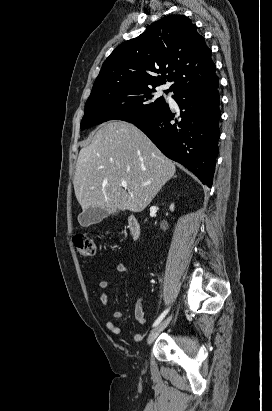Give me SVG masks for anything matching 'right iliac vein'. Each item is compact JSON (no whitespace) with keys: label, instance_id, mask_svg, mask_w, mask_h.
I'll use <instances>...</instances> for the list:
<instances>
[{"label":"right iliac vein","instance_id":"obj_1","mask_svg":"<svg viewBox=\"0 0 272 411\" xmlns=\"http://www.w3.org/2000/svg\"><path fill=\"white\" fill-rule=\"evenodd\" d=\"M171 319H172V315L168 316L164 321H162L157 327H155L150 332V334L147 338V344L148 345H150L156 339V337L160 334V332L168 326Z\"/></svg>","mask_w":272,"mask_h":411}]
</instances>
